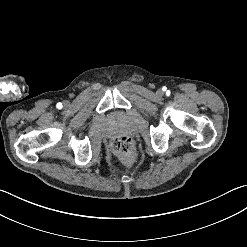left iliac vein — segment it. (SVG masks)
<instances>
[{
  "label": "left iliac vein",
  "mask_w": 247,
  "mask_h": 247,
  "mask_svg": "<svg viewBox=\"0 0 247 247\" xmlns=\"http://www.w3.org/2000/svg\"><path fill=\"white\" fill-rule=\"evenodd\" d=\"M158 95H159V96L162 95V91H161V90L158 91Z\"/></svg>",
  "instance_id": "obj_1"
}]
</instances>
